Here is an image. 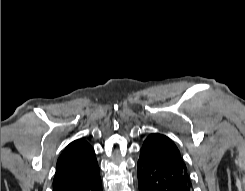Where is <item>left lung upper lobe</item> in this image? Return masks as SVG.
<instances>
[{"label": "left lung upper lobe", "instance_id": "5c2ea615", "mask_svg": "<svg viewBox=\"0 0 245 191\" xmlns=\"http://www.w3.org/2000/svg\"><path fill=\"white\" fill-rule=\"evenodd\" d=\"M142 149L187 170L179 149L170 138L163 134L155 133L148 136Z\"/></svg>", "mask_w": 245, "mask_h": 191}]
</instances>
